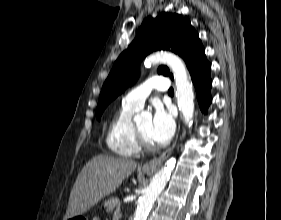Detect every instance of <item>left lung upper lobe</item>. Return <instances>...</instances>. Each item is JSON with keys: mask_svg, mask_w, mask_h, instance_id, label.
<instances>
[{"mask_svg": "<svg viewBox=\"0 0 281 220\" xmlns=\"http://www.w3.org/2000/svg\"><path fill=\"white\" fill-rule=\"evenodd\" d=\"M169 50L181 56L186 65L204 53L198 34L188 19L179 14L161 13L155 19L147 17L134 41L118 57L106 79L98 101L96 117L100 120L106 106L128 86L136 82L138 66L145 56L153 51ZM158 73L169 75L166 66ZM171 78L172 75H170Z\"/></svg>", "mask_w": 281, "mask_h": 220, "instance_id": "1", "label": "left lung upper lobe"}]
</instances>
